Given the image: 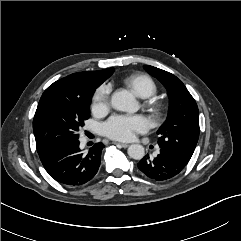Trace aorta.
I'll return each instance as SVG.
<instances>
[{
  "label": "aorta",
  "instance_id": "aorta-1",
  "mask_svg": "<svg viewBox=\"0 0 241 241\" xmlns=\"http://www.w3.org/2000/svg\"><path fill=\"white\" fill-rule=\"evenodd\" d=\"M112 107L116 110L134 113L138 111L139 105L135 97L128 91L115 92L111 98ZM128 155L136 160H140L145 155L144 147L140 144H132L128 147Z\"/></svg>",
  "mask_w": 241,
  "mask_h": 241
}]
</instances>
